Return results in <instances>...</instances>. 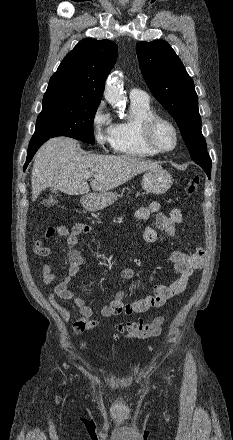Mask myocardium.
Instances as JSON below:
<instances>
[{"label": "myocardium", "mask_w": 233, "mask_h": 440, "mask_svg": "<svg viewBox=\"0 0 233 440\" xmlns=\"http://www.w3.org/2000/svg\"><path fill=\"white\" fill-rule=\"evenodd\" d=\"M164 123L167 124L174 134V144L169 149H163L158 147L154 142V132L156 127L160 124ZM140 133L143 144L153 153L155 154H166L174 151L178 144H179V131L176 127V125L168 118L154 114L149 117H147L145 120L142 121L140 125Z\"/></svg>", "instance_id": "myocardium-1"}]
</instances>
